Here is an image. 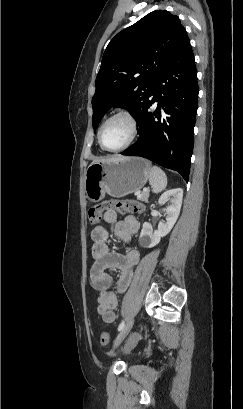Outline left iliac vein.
<instances>
[{
	"instance_id": "obj_1",
	"label": "left iliac vein",
	"mask_w": 243,
	"mask_h": 409,
	"mask_svg": "<svg viewBox=\"0 0 243 409\" xmlns=\"http://www.w3.org/2000/svg\"><path fill=\"white\" fill-rule=\"evenodd\" d=\"M133 318L130 319V321L125 325V327L120 331L116 339L114 340L113 348L115 349L117 346L121 344V342L125 339V337L128 335L130 332L132 326H133ZM126 350H130V346L127 347Z\"/></svg>"
}]
</instances>
